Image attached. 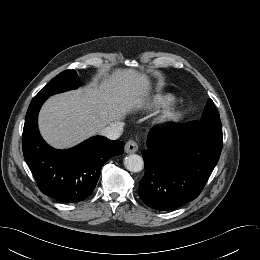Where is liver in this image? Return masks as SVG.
Instances as JSON below:
<instances>
[{
    "mask_svg": "<svg viewBox=\"0 0 260 260\" xmlns=\"http://www.w3.org/2000/svg\"><path fill=\"white\" fill-rule=\"evenodd\" d=\"M149 78L133 69H115L100 82L51 96L39 113V130L51 146L69 148L145 107Z\"/></svg>",
    "mask_w": 260,
    "mask_h": 260,
    "instance_id": "1",
    "label": "liver"
}]
</instances>
